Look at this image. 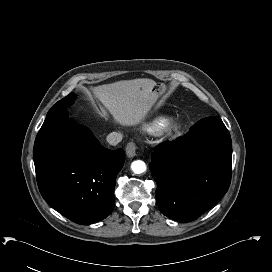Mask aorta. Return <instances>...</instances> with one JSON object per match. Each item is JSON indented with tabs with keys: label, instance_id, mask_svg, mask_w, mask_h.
Wrapping results in <instances>:
<instances>
[{
	"label": "aorta",
	"instance_id": "aorta-1",
	"mask_svg": "<svg viewBox=\"0 0 272 272\" xmlns=\"http://www.w3.org/2000/svg\"><path fill=\"white\" fill-rule=\"evenodd\" d=\"M131 169L135 174H141L146 171V164L141 160H137L131 164Z\"/></svg>",
	"mask_w": 272,
	"mask_h": 272
}]
</instances>
